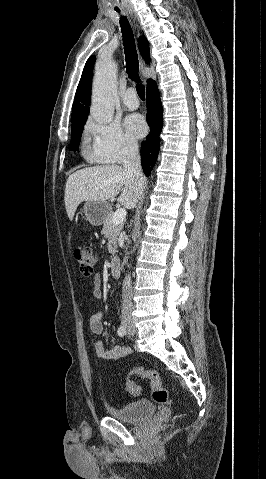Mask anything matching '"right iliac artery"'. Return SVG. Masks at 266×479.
Segmentation results:
<instances>
[{
  "mask_svg": "<svg viewBox=\"0 0 266 479\" xmlns=\"http://www.w3.org/2000/svg\"><path fill=\"white\" fill-rule=\"evenodd\" d=\"M117 333L120 337H123L126 335V328L125 326L121 325L118 330H117Z\"/></svg>",
  "mask_w": 266,
  "mask_h": 479,
  "instance_id": "right-iliac-artery-1",
  "label": "right iliac artery"
}]
</instances>
